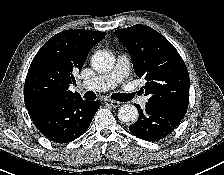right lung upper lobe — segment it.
I'll use <instances>...</instances> for the list:
<instances>
[{"label":"right lung upper lobe","instance_id":"right-lung-upper-lobe-1","mask_svg":"<svg viewBox=\"0 0 224 175\" xmlns=\"http://www.w3.org/2000/svg\"><path fill=\"white\" fill-rule=\"evenodd\" d=\"M105 32L66 30L50 38L35 55L24 86L27 109L81 96L69 90L90 50L105 37Z\"/></svg>","mask_w":224,"mask_h":175}]
</instances>
